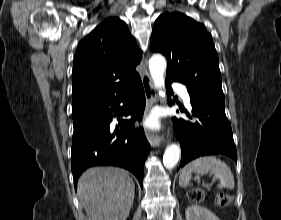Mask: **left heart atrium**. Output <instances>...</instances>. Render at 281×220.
<instances>
[{
    "mask_svg": "<svg viewBox=\"0 0 281 220\" xmlns=\"http://www.w3.org/2000/svg\"><path fill=\"white\" fill-rule=\"evenodd\" d=\"M145 125H146L148 128H151V129H156V128H158V127H159V120H158V117H157L156 115L150 116L149 118L146 119Z\"/></svg>",
    "mask_w": 281,
    "mask_h": 220,
    "instance_id": "39dd6f15",
    "label": "left heart atrium"
}]
</instances>
